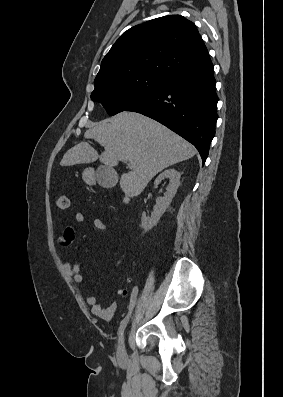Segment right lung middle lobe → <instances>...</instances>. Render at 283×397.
Masks as SVG:
<instances>
[{
  "instance_id": "dd1d6c3e",
  "label": "right lung middle lobe",
  "mask_w": 283,
  "mask_h": 397,
  "mask_svg": "<svg viewBox=\"0 0 283 397\" xmlns=\"http://www.w3.org/2000/svg\"><path fill=\"white\" fill-rule=\"evenodd\" d=\"M164 82L148 75L101 80L94 82L91 99L101 103L109 115H115L156 92Z\"/></svg>"
}]
</instances>
